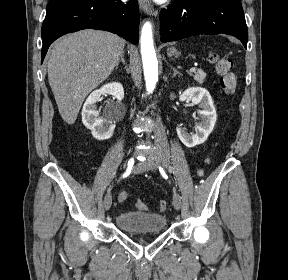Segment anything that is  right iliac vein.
Segmentation results:
<instances>
[{"label": "right iliac vein", "instance_id": "1", "mask_svg": "<svg viewBox=\"0 0 288 280\" xmlns=\"http://www.w3.org/2000/svg\"><path fill=\"white\" fill-rule=\"evenodd\" d=\"M111 205H112V195L108 191L105 194V197H104V208H105V210L108 211L111 208Z\"/></svg>", "mask_w": 288, "mask_h": 280}]
</instances>
